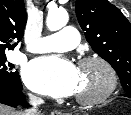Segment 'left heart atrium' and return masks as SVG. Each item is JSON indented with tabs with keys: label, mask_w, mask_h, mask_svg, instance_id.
Listing matches in <instances>:
<instances>
[{
	"label": "left heart atrium",
	"mask_w": 131,
	"mask_h": 115,
	"mask_svg": "<svg viewBox=\"0 0 131 115\" xmlns=\"http://www.w3.org/2000/svg\"><path fill=\"white\" fill-rule=\"evenodd\" d=\"M23 79L35 92L65 97L76 93L79 75L72 62L58 56H44L30 61L24 67Z\"/></svg>",
	"instance_id": "left-heart-atrium-1"
}]
</instances>
